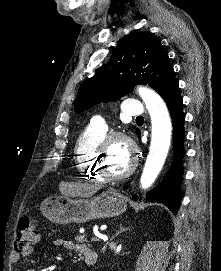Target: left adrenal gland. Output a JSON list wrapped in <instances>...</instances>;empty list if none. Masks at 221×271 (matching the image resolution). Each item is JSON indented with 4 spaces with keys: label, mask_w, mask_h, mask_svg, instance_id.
<instances>
[{
    "label": "left adrenal gland",
    "mask_w": 221,
    "mask_h": 271,
    "mask_svg": "<svg viewBox=\"0 0 221 271\" xmlns=\"http://www.w3.org/2000/svg\"><path fill=\"white\" fill-rule=\"evenodd\" d=\"M126 229H129V227H123V223H120V229L119 231H116L115 235H119L121 231H126ZM115 235H113V237H115Z\"/></svg>",
    "instance_id": "obj_1"
}]
</instances>
